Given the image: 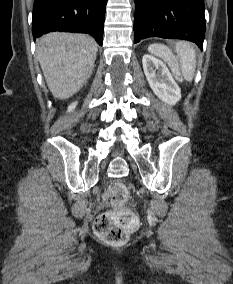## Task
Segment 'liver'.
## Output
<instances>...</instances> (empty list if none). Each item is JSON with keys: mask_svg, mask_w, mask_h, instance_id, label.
I'll list each match as a JSON object with an SVG mask.
<instances>
[{"mask_svg": "<svg viewBox=\"0 0 233 284\" xmlns=\"http://www.w3.org/2000/svg\"><path fill=\"white\" fill-rule=\"evenodd\" d=\"M98 44L84 34L53 32L36 42V55L46 83L55 98L65 100L90 77Z\"/></svg>", "mask_w": 233, "mask_h": 284, "instance_id": "obj_1", "label": "liver"}]
</instances>
